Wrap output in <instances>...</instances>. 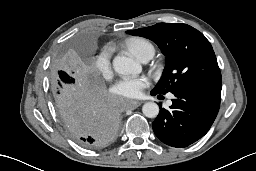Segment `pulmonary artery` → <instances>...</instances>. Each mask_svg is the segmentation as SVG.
<instances>
[{
    "label": "pulmonary artery",
    "instance_id": "pulmonary-artery-1",
    "mask_svg": "<svg viewBox=\"0 0 256 171\" xmlns=\"http://www.w3.org/2000/svg\"><path fill=\"white\" fill-rule=\"evenodd\" d=\"M149 59H150V58H146V59L143 60V62H147Z\"/></svg>",
    "mask_w": 256,
    "mask_h": 171
}]
</instances>
